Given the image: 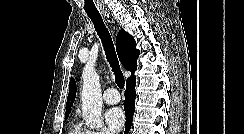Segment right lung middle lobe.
I'll return each instance as SVG.
<instances>
[{
    "label": "right lung middle lobe",
    "instance_id": "right-lung-middle-lobe-1",
    "mask_svg": "<svg viewBox=\"0 0 244 134\" xmlns=\"http://www.w3.org/2000/svg\"><path fill=\"white\" fill-rule=\"evenodd\" d=\"M68 116H69V114H65V119H67V118H68Z\"/></svg>",
    "mask_w": 244,
    "mask_h": 134
}]
</instances>
